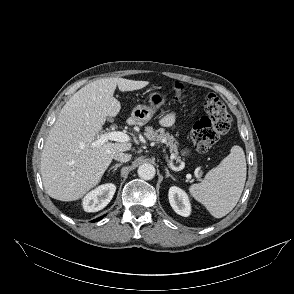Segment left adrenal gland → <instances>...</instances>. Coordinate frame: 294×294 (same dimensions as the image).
<instances>
[{"label":"left adrenal gland","mask_w":294,"mask_h":294,"mask_svg":"<svg viewBox=\"0 0 294 294\" xmlns=\"http://www.w3.org/2000/svg\"><path fill=\"white\" fill-rule=\"evenodd\" d=\"M166 170V178H172L173 180H175V178L169 173V170L167 168H165Z\"/></svg>","instance_id":"1"}]
</instances>
